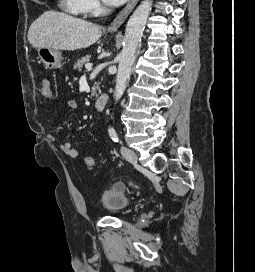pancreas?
I'll return each instance as SVG.
<instances>
[{
  "mask_svg": "<svg viewBox=\"0 0 255 272\" xmlns=\"http://www.w3.org/2000/svg\"><path fill=\"white\" fill-rule=\"evenodd\" d=\"M90 62V56L87 55L85 57H82L81 59H79L75 64H74V69H77L78 71L82 70L83 65L87 64ZM101 93L100 87L98 83H95L94 86L92 87V97H98V93Z\"/></svg>",
  "mask_w": 255,
  "mask_h": 272,
  "instance_id": "obj_1",
  "label": "pancreas"
}]
</instances>
